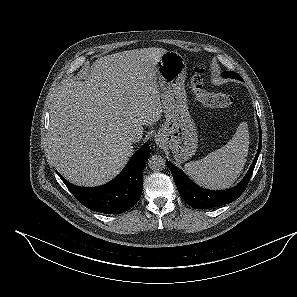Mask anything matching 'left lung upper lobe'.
I'll return each mask as SVG.
<instances>
[{
    "instance_id": "obj_1",
    "label": "left lung upper lobe",
    "mask_w": 297,
    "mask_h": 297,
    "mask_svg": "<svg viewBox=\"0 0 297 297\" xmlns=\"http://www.w3.org/2000/svg\"><path fill=\"white\" fill-rule=\"evenodd\" d=\"M223 77L225 78H234V79H238V80H243L237 73L233 72V71H226L223 73Z\"/></svg>"
}]
</instances>
